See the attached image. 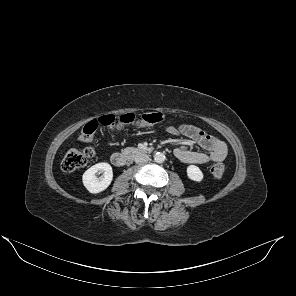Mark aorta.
I'll use <instances>...</instances> for the list:
<instances>
[{"mask_svg": "<svg viewBox=\"0 0 296 296\" xmlns=\"http://www.w3.org/2000/svg\"><path fill=\"white\" fill-rule=\"evenodd\" d=\"M154 160L157 163H163L165 161V155L161 152H157L154 155Z\"/></svg>", "mask_w": 296, "mask_h": 296, "instance_id": "aorta-1", "label": "aorta"}]
</instances>
